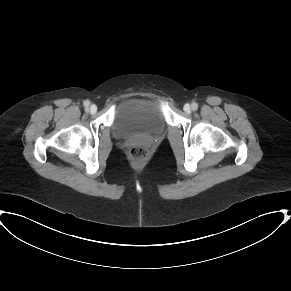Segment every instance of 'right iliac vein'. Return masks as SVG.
<instances>
[{"mask_svg": "<svg viewBox=\"0 0 291 291\" xmlns=\"http://www.w3.org/2000/svg\"><path fill=\"white\" fill-rule=\"evenodd\" d=\"M96 111H97L96 105H91V107H90V113L91 114H94V113H96Z\"/></svg>", "mask_w": 291, "mask_h": 291, "instance_id": "obj_1", "label": "right iliac vein"}]
</instances>
